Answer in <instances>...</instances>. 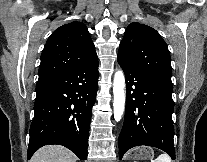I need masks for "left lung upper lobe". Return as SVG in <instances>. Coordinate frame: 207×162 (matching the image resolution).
Wrapping results in <instances>:
<instances>
[{
	"label": "left lung upper lobe",
	"instance_id": "1",
	"mask_svg": "<svg viewBox=\"0 0 207 162\" xmlns=\"http://www.w3.org/2000/svg\"><path fill=\"white\" fill-rule=\"evenodd\" d=\"M118 61L138 70L171 78V57L160 34L150 26L131 23L119 46Z\"/></svg>",
	"mask_w": 207,
	"mask_h": 162
}]
</instances>
